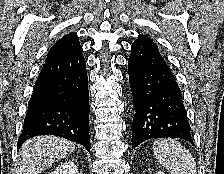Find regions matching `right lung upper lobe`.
Masks as SVG:
<instances>
[{"mask_svg":"<svg viewBox=\"0 0 224 174\" xmlns=\"http://www.w3.org/2000/svg\"><path fill=\"white\" fill-rule=\"evenodd\" d=\"M81 53V47L76 33H69L59 39L50 49L45 63L64 59Z\"/></svg>","mask_w":224,"mask_h":174,"instance_id":"1","label":"right lung upper lobe"}]
</instances>
